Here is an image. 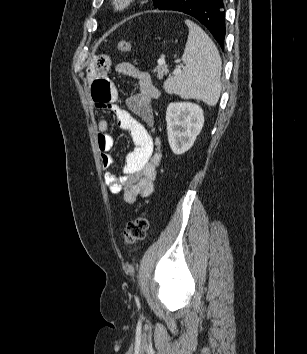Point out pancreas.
<instances>
[{"instance_id": "cf45deb5", "label": "pancreas", "mask_w": 307, "mask_h": 354, "mask_svg": "<svg viewBox=\"0 0 307 354\" xmlns=\"http://www.w3.org/2000/svg\"><path fill=\"white\" fill-rule=\"evenodd\" d=\"M168 68L164 64H159L154 70L153 73L156 75L158 79H162L164 75L168 73Z\"/></svg>"}]
</instances>
